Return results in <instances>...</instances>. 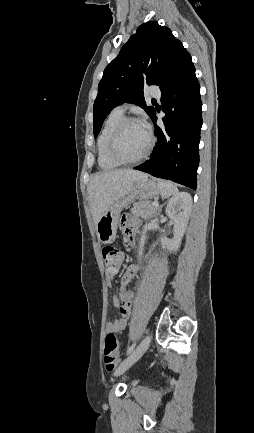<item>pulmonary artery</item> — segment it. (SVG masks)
Here are the masks:
<instances>
[{"instance_id": "obj_1", "label": "pulmonary artery", "mask_w": 254, "mask_h": 433, "mask_svg": "<svg viewBox=\"0 0 254 433\" xmlns=\"http://www.w3.org/2000/svg\"><path fill=\"white\" fill-rule=\"evenodd\" d=\"M148 94L154 97H160L161 93H160V89L157 87H150L148 90ZM125 110L124 106H118L114 109V111L119 112V113H123Z\"/></svg>"}]
</instances>
